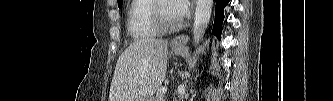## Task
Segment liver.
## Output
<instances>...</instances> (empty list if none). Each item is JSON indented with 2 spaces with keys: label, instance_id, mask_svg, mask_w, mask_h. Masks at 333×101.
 <instances>
[{
  "label": "liver",
  "instance_id": "1",
  "mask_svg": "<svg viewBox=\"0 0 333 101\" xmlns=\"http://www.w3.org/2000/svg\"><path fill=\"white\" fill-rule=\"evenodd\" d=\"M168 42L147 38L132 43L119 57L109 101H147L166 76Z\"/></svg>",
  "mask_w": 333,
  "mask_h": 101
}]
</instances>
